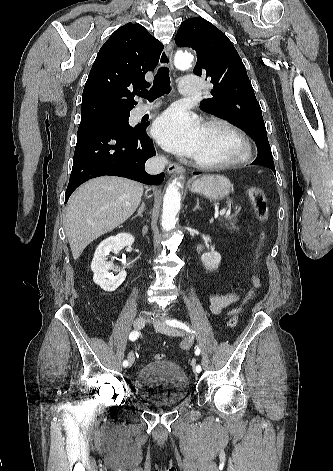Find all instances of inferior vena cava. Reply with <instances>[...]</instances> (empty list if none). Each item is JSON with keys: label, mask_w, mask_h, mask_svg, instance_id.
Returning a JSON list of instances; mask_svg holds the SVG:
<instances>
[{"label": "inferior vena cava", "mask_w": 333, "mask_h": 471, "mask_svg": "<svg viewBox=\"0 0 333 471\" xmlns=\"http://www.w3.org/2000/svg\"><path fill=\"white\" fill-rule=\"evenodd\" d=\"M166 164L167 159L164 156H156L147 160L145 170L149 174H159L164 170Z\"/></svg>", "instance_id": "inferior-vena-cava-1"}]
</instances>
